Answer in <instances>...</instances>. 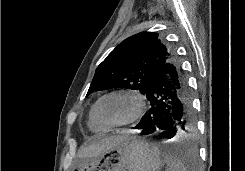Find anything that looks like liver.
<instances>
[{"label":"liver","mask_w":245,"mask_h":171,"mask_svg":"<svg viewBox=\"0 0 245 171\" xmlns=\"http://www.w3.org/2000/svg\"><path fill=\"white\" fill-rule=\"evenodd\" d=\"M126 136L127 134H122L97 140L90 145L82 148L78 153V158L86 159L97 157L98 155L115 147Z\"/></svg>","instance_id":"liver-1"}]
</instances>
